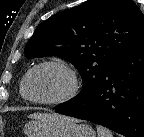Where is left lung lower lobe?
<instances>
[{"label": "left lung lower lobe", "instance_id": "obj_1", "mask_svg": "<svg viewBox=\"0 0 144 137\" xmlns=\"http://www.w3.org/2000/svg\"><path fill=\"white\" fill-rule=\"evenodd\" d=\"M56 112L144 137V29L90 92L58 105Z\"/></svg>", "mask_w": 144, "mask_h": 137}]
</instances>
